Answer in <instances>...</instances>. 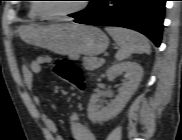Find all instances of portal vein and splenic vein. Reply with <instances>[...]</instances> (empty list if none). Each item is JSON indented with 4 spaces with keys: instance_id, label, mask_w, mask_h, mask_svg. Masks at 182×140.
Masks as SVG:
<instances>
[{
    "instance_id": "18ae733b",
    "label": "portal vein and splenic vein",
    "mask_w": 182,
    "mask_h": 140,
    "mask_svg": "<svg viewBox=\"0 0 182 140\" xmlns=\"http://www.w3.org/2000/svg\"><path fill=\"white\" fill-rule=\"evenodd\" d=\"M100 61H101L102 63H104V62H105V59H104V58H101Z\"/></svg>"
}]
</instances>
